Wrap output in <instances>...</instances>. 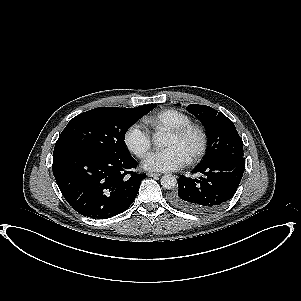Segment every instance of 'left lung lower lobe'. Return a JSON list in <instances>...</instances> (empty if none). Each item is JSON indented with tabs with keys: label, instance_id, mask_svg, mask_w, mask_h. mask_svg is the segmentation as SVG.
<instances>
[{
	"label": "left lung lower lobe",
	"instance_id": "left-lung-lower-lobe-1",
	"mask_svg": "<svg viewBox=\"0 0 301 301\" xmlns=\"http://www.w3.org/2000/svg\"><path fill=\"white\" fill-rule=\"evenodd\" d=\"M245 169V159L239 154H226L208 164H199L191 173L199 179L180 176L179 189L170 195L176 208L197 213L220 209L235 194Z\"/></svg>",
	"mask_w": 301,
	"mask_h": 301
}]
</instances>
